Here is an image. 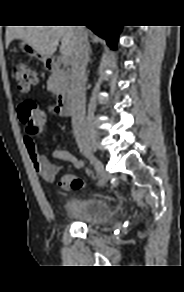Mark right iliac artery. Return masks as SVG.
<instances>
[{
  "instance_id": "82829eb1",
  "label": "right iliac artery",
  "mask_w": 184,
  "mask_h": 292,
  "mask_svg": "<svg viewBox=\"0 0 184 292\" xmlns=\"http://www.w3.org/2000/svg\"><path fill=\"white\" fill-rule=\"evenodd\" d=\"M97 182H100V179H97Z\"/></svg>"
}]
</instances>
